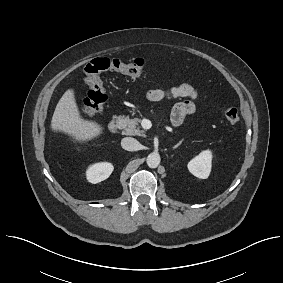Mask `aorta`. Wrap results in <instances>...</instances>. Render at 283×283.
<instances>
[{"mask_svg": "<svg viewBox=\"0 0 283 283\" xmlns=\"http://www.w3.org/2000/svg\"><path fill=\"white\" fill-rule=\"evenodd\" d=\"M160 155L158 153H150L148 156H147V165L150 167V168H156L159 164H160Z\"/></svg>", "mask_w": 283, "mask_h": 283, "instance_id": "obj_1", "label": "aorta"}]
</instances>
